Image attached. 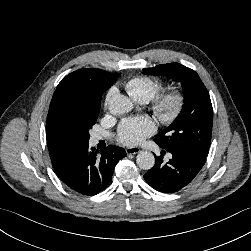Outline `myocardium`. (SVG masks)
<instances>
[{"mask_svg":"<svg viewBox=\"0 0 251 251\" xmlns=\"http://www.w3.org/2000/svg\"><path fill=\"white\" fill-rule=\"evenodd\" d=\"M184 104V93L178 88H172L155 99L152 111L158 120L171 124L181 114Z\"/></svg>","mask_w":251,"mask_h":251,"instance_id":"obj_1","label":"myocardium"}]
</instances>
